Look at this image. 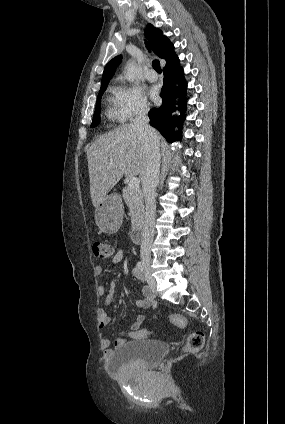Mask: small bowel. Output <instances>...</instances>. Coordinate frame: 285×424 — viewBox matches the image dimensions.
Returning a JSON list of instances; mask_svg holds the SVG:
<instances>
[{
    "instance_id": "c3829d8e",
    "label": "small bowel",
    "mask_w": 285,
    "mask_h": 424,
    "mask_svg": "<svg viewBox=\"0 0 285 424\" xmlns=\"http://www.w3.org/2000/svg\"><path fill=\"white\" fill-rule=\"evenodd\" d=\"M125 249L123 247H120L113 255L111 258V261L113 264H116L118 262L121 261L123 255H124ZM95 273L97 275H102L103 274V267L102 266H97L95 268ZM133 274L134 276L142 283L145 282V278L142 274V272L135 267L133 269ZM115 291H116V284L114 281H112L110 283V289L107 292L106 288L104 285H99L98 286V294L100 296H105V300H104V305H109L113 299H114V295H115ZM142 293H143V298L137 300L135 302V306L139 309H148L150 307H153L155 305V302L152 298L151 292L150 290L146 287L143 286L142 287ZM144 321V316L142 314H139L136 319L134 320L130 331L128 332H121L114 340V347L117 348L121 345H123L128 339H142V332L143 330H141V326L143 324ZM111 323V318L108 316V314L105 311H102L100 313V320H99V328L103 329L106 328L108 325H110ZM111 344V341L109 339H103L102 341V346L104 348V354L106 357L111 356L112 354V350L109 348Z\"/></svg>"
}]
</instances>
